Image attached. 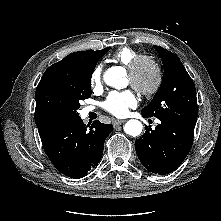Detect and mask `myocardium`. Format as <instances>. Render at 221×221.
I'll list each match as a JSON object with an SVG mask.
<instances>
[{
  "label": "myocardium",
  "instance_id": "myocardium-1",
  "mask_svg": "<svg viewBox=\"0 0 221 221\" xmlns=\"http://www.w3.org/2000/svg\"><path fill=\"white\" fill-rule=\"evenodd\" d=\"M143 65H148L154 72V80L148 87H143L138 82V74ZM128 76L131 86L141 95L150 97L158 92L163 81V72L160 63L147 54H139L136 56L128 67Z\"/></svg>",
  "mask_w": 221,
  "mask_h": 221
}]
</instances>
